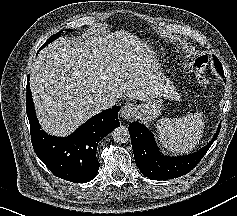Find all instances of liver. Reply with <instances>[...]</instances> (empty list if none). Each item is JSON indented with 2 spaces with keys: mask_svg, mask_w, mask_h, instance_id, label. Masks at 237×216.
<instances>
[{
  "mask_svg": "<svg viewBox=\"0 0 237 216\" xmlns=\"http://www.w3.org/2000/svg\"><path fill=\"white\" fill-rule=\"evenodd\" d=\"M112 35L61 38L48 45L31 68V89L39 119L49 132L67 134L102 110L101 96L142 101L158 79L141 65H121Z\"/></svg>",
  "mask_w": 237,
  "mask_h": 216,
  "instance_id": "liver-1",
  "label": "liver"
}]
</instances>
